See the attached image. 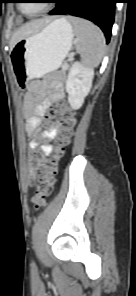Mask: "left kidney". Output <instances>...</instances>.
<instances>
[{"instance_id":"1","label":"left kidney","mask_w":136,"mask_h":296,"mask_svg":"<svg viewBox=\"0 0 136 296\" xmlns=\"http://www.w3.org/2000/svg\"><path fill=\"white\" fill-rule=\"evenodd\" d=\"M94 77V70L79 62H75L68 74L66 81V92L68 102L72 109L78 110L88 95Z\"/></svg>"}]
</instances>
